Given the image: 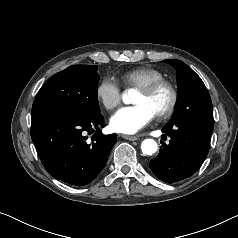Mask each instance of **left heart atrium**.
<instances>
[{"label":"left heart atrium","instance_id":"left-heart-atrium-1","mask_svg":"<svg viewBox=\"0 0 238 238\" xmlns=\"http://www.w3.org/2000/svg\"><path fill=\"white\" fill-rule=\"evenodd\" d=\"M155 115L154 110L146 103L125 106L112 115L110 125L116 132L134 134L148 125Z\"/></svg>","mask_w":238,"mask_h":238}]
</instances>
